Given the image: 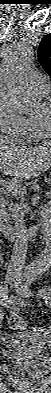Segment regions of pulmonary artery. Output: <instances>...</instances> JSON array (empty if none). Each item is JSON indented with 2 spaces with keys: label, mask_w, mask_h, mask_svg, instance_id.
I'll return each mask as SVG.
<instances>
[{
  "label": "pulmonary artery",
  "mask_w": 51,
  "mask_h": 393,
  "mask_svg": "<svg viewBox=\"0 0 51 393\" xmlns=\"http://www.w3.org/2000/svg\"><path fill=\"white\" fill-rule=\"evenodd\" d=\"M32 80L36 89L40 93L48 94L50 92L51 86H50L49 79L46 76L42 74H34Z\"/></svg>",
  "instance_id": "1"
}]
</instances>
